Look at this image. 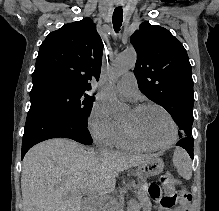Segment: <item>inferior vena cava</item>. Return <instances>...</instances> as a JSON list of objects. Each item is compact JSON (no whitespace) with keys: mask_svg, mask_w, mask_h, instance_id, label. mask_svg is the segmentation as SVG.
I'll use <instances>...</instances> for the list:
<instances>
[{"mask_svg":"<svg viewBox=\"0 0 219 211\" xmlns=\"http://www.w3.org/2000/svg\"><path fill=\"white\" fill-rule=\"evenodd\" d=\"M96 147H98L97 153L98 151H105V153H107L108 151L106 147H103V145H99V143H96ZM82 211H95V209L94 208H83Z\"/></svg>","mask_w":219,"mask_h":211,"instance_id":"obj_1","label":"inferior vena cava"}]
</instances>
